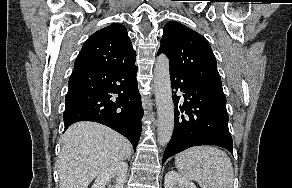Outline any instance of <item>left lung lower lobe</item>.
<instances>
[{
    "label": "left lung lower lobe",
    "mask_w": 292,
    "mask_h": 188,
    "mask_svg": "<svg viewBox=\"0 0 292 188\" xmlns=\"http://www.w3.org/2000/svg\"><path fill=\"white\" fill-rule=\"evenodd\" d=\"M170 79L174 89L175 129L164 152L162 164L167 158L198 145L220 146L233 154L223 89L172 71ZM177 91L184 93L183 99L176 95Z\"/></svg>",
    "instance_id": "1"
}]
</instances>
